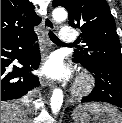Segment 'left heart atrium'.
Returning <instances> with one entry per match:
<instances>
[{
    "instance_id": "left-heart-atrium-1",
    "label": "left heart atrium",
    "mask_w": 122,
    "mask_h": 123,
    "mask_svg": "<svg viewBox=\"0 0 122 123\" xmlns=\"http://www.w3.org/2000/svg\"><path fill=\"white\" fill-rule=\"evenodd\" d=\"M42 74L52 79H66L69 77V70L64 66L58 56H51L42 67Z\"/></svg>"
}]
</instances>
